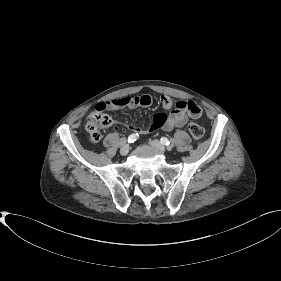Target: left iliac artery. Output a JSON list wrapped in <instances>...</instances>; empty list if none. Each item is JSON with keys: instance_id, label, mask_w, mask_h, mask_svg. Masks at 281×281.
Segmentation results:
<instances>
[{"instance_id": "44dca946", "label": "left iliac artery", "mask_w": 281, "mask_h": 281, "mask_svg": "<svg viewBox=\"0 0 281 281\" xmlns=\"http://www.w3.org/2000/svg\"><path fill=\"white\" fill-rule=\"evenodd\" d=\"M161 143L168 146V147H172L173 146V142L171 140H169L168 138L166 137H162L160 139Z\"/></svg>"}]
</instances>
